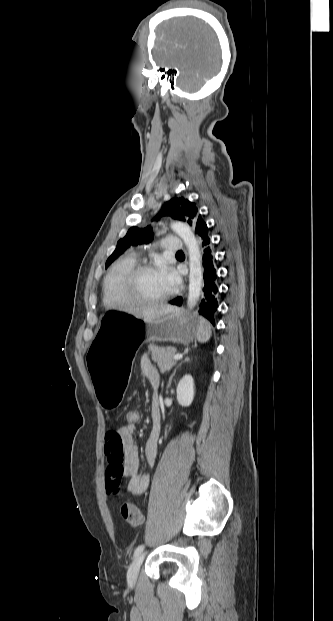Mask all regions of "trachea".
<instances>
[{
  "mask_svg": "<svg viewBox=\"0 0 333 621\" xmlns=\"http://www.w3.org/2000/svg\"><path fill=\"white\" fill-rule=\"evenodd\" d=\"M182 253H183L182 251H178L176 254H182Z\"/></svg>",
  "mask_w": 333,
  "mask_h": 621,
  "instance_id": "1",
  "label": "trachea"
}]
</instances>
